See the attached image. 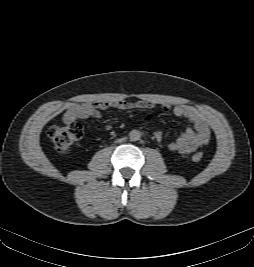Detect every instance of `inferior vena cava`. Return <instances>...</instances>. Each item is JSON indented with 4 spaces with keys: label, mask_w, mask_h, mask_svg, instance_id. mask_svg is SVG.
I'll return each instance as SVG.
<instances>
[{
    "label": "inferior vena cava",
    "mask_w": 254,
    "mask_h": 267,
    "mask_svg": "<svg viewBox=\"0 0 254 267\" xmlns=\"http://www.w3.org/2000/svg\"><path fill=\"white\" fill-rule=\"evenodd\" d=\"M123 140H124V139L122 138V139H119L118 141L121 142V141H123Z\"/></svg>",
    "instance_id": "602c4592"
}]
</instances>
